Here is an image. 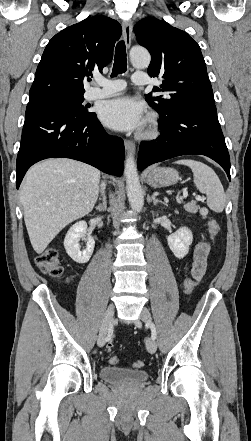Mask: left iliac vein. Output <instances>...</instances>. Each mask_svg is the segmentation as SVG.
Returning a JSON list of instances; mask_svg holds the SVG:
<instances>
[{"mask_svg":"<svg viewBox=\"0 0 251 441\" xmlns=\"http://www.w3.org/2000/svg\"><path fill=\"white\" fill-rule=\"evenodd\" d=\"M141 320L147 324L151 323V321H152L151 314L146 308H143V310L141 312ZM136 325L139 327L140 322L137 321ZM146 348L149 353H151V354L155 353L157 350V344H156L155 340H153L152 338H149L146 341Z\"/></svg>","mask_w":251,"mask_h":441,"instance_id":"4c4485c4","label":"left iliac vein"}]
</instances>
